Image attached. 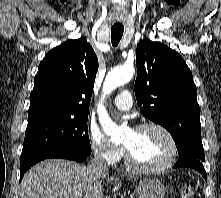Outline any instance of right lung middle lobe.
Segmentation results:
<instances>
[{"instance_id":"1","label":"right lung middle lobe","mask_w":221,"mask_h":198,"mask_svg":"<svg viewBox=\"0 0 221 198\" xmlns=\"http://www.w3.org/2000/svg\"><path fill=\"white\" fill-rule=\"evenodd\" d=\"M88 116H49L28 122L20 163L49 149L64 148L90 155Z\"/></svg>"}]
</instances>
